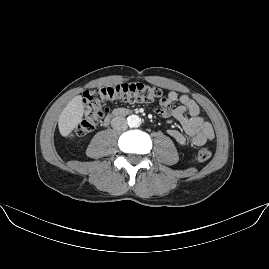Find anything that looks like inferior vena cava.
<instances>
[{
    "mask_svg": "<svg viewBox=\"0 0 269 269\" xmlns=\"http://www.w3.org/2000/svg\"><path fill=\"white\" fill-rule=\"evenodd\" d=\"M111 126L117 131H125L128 128L127 121L121 116L114 117L111 121Z\"/></svg>",
    "mask_w": 269,
    "mask_h": 269,
    "instance_id": "1",
    "label": "inferior vena cava"
}]
</instances>
